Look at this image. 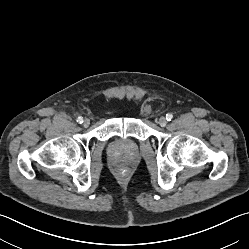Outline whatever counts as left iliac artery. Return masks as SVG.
Wrapping results in <instances>:
<instances>
[{"instance_id": "obj_1", "label": "left iliac artery", "mask_w": 249, "mask_h": 249, "mask_svg": "<svg viewBox=\"0 0 249 249\" xmlns=\"http://www.w3.org/2000/svg\"><path fill=\"white\" fill-rule=\"evenodd\" d=\"M173 118V115L171 113L166 114L167 121H171Z\"/></svg>"}]
</instances>
